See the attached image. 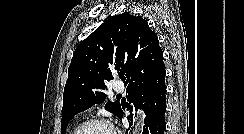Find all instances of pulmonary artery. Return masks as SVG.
<instances>
[{"label":"pulmonary artery","instance_id":"1","mask_svg":"<svg viewBox=\"0 0 244 134\" xmlns=\"http://www.w3.org/2000/svg\"><path fill=\"white\" fill-rule=\"evenodd\" d=\"M113 89L116 91V92H123L125 90V86L122 82H116L113 86Z\"/></svg>","mask_w":244,"mask_h":134}]
</instances>
